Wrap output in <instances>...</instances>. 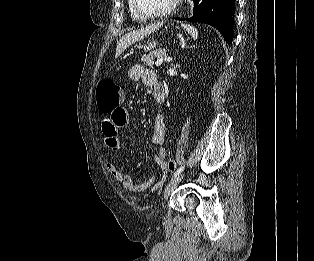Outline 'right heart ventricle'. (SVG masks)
I'll return each mask as SVG.
<instances>
[{
    "label": "right heart ventricle",
    "instance_id": "obj_1",
    "mask_svg": "<svg viewBox=\"0 0 314 261\" xmlns=\"http://www.w3.org/2000/svg\"><path fill=\"white\" fill-rule=\"evenodd\" d=\"M128 10L131 17L137 21H143L145 18L141 17L134 8L133 0H127Z\"/></svg>",
    "mask_w": 314,
    "mask_h": 261
}]
</instances>
